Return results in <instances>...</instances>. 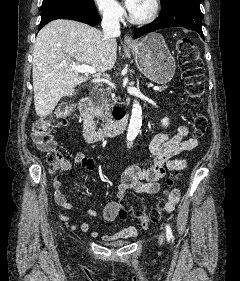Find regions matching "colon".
<instances>
[{
  "mask_svg": "<svg viewBox=\"0 0 240 281\" xmlns=\"http://www.w3.org/2000/svg\"><path fill=\"white\" fill-rule=\"evenodd\" d=\"M177 58L181 67L187 102L192 106L199 105L204 97V67L199 56L197 45L187 37L177 41ZM73 111V105L68 102L60 103L51 113L37 119L32 125V140L37 148L47 153V161L54 168L59 167L61 154L56 150V142L52 132L63 126ZM208 128V120L203 114H197L194 118L193 129L197 137H202ZM174 184L172 179L167 181L168 188ZM168 190L166 191V194ZM166 200L162 199L149 213H146L144 204L136 195L125 196L118 212L120 218H126L131 213L142 227H148L159 220L160 213L166 207Z\"/></svg>",
  "mask_w": 240,
  "mask_h": 281,
  "instance_id": "5ec220e1",
  "label": "colon"
}]
</instances>
